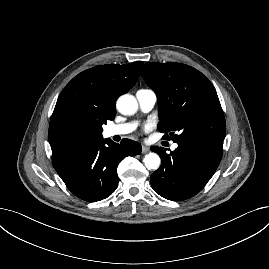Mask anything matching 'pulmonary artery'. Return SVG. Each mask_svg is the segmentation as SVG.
<instances>
[{
    "instance_id": "obj_1",
    "label": "pulmonary artery",
    "mask_w": 269,
    "mask_h": 269,
    "mask_svg": "<svg viewBox=\"0 0 269 269\" xmlns=\"http://www.w3.org/2000/svg\"><path fill=\"white\" fill-rule=\"evenodd\" d=\"M136 98L138 100L140 109L143 112H149L153 109L154 105L157 101L156 94L150 90V89H141L136 93ZM135 128L134 123H124V124H118L113 125L107 128L106 135L107 136H116V135H126L130 132H132ZM172 149L177 148V144L173 143L171 145Z\"/></svg>"
}]
</instances>
